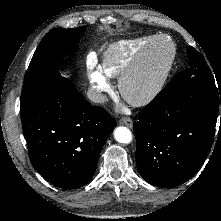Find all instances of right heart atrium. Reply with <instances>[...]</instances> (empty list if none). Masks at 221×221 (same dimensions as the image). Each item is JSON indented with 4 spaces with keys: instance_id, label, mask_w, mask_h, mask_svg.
I'll return each mask as SVG.
<instances>
[{
    "instance_id": "right-heart-atrium-1",
    "label": "right heart atrium",
    "mask_w": 221,
    "mask_h": 221,
    "mask_svg": "<svg viewBox=\"0 0 221 221\" xmlns=\"http://www.w3.org/2000/svg\"><path fill=\"white\" fill-rule=\"evenodd\" d=\"M88 78L90 86L96 94V100L101 102L104 94L111 91V85L108 78L101 70L95 68L92 63L89 65Z\"/></svg>"
}]
</instances>
